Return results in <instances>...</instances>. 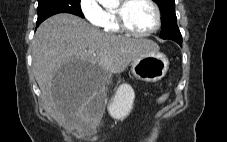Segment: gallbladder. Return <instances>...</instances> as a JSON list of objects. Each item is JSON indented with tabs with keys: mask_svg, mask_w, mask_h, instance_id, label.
<instances>
[{
	"mask_svg": "<svg viewBox=\"0 0 227 142\" xmlns=\"http://www.w3.org/2000/svg\"><path fill=\"white\" fill-rule=\"evenodd\" d=\"M107 105V98L104 93H95L92 99L84 110V114L91 118L99 117L100 113L104 112Z\"/></svg>",
	"mask_w": 227,
	"mask_h": 142,
	"instance_id": "bac80fb5",
	"label": "gallbladder"
}]
</instances>
